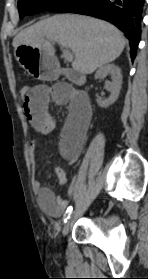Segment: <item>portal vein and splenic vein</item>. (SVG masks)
<instances>
[{"instance_id":"1","label":"portal vein and splenic vein","mask_w":148,"mask_h":279,"mask_svg":"<svg viewBox=\"0 0 148 279\" xmlns=\"http://www.w3.org/2000/svg\"><path fill=\"white\" fill-rule=\"evenodd\" d=\"M62 49H63V56L65 57V59L68 62H72L74 57H73V54L71 53V51L66 49V48H64V46L62 47Z\"/></svg>"}]
</instances>
